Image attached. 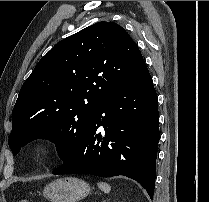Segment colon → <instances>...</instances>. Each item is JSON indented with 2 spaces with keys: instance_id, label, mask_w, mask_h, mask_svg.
Listing matches in <instances>:
<instances>
[{
  "instance_id": "colon-1",
  "label": "colon",
  "mask_w": 209,
  "mask_h": 202,
  "mask_svg": "<svg viewBox=\"0 0 209 202\" xmlns=\"http://www.w3.org/2000/svg\"><path fill=\"white\" fill-rule=\"evenodd\" d=\"M16 202H30V201L27 200V199H20V200H18V201H16Z\"/></svg>"
}]
</instances>
